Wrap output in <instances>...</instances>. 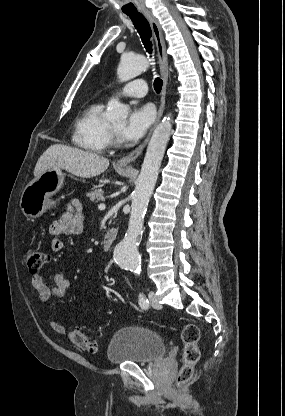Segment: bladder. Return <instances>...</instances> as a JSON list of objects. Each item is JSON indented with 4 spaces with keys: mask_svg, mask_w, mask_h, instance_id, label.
I'll list each match as a JSON object with an SVG mask.
<instances>
[{
    "mask_svg": "<svg viewBox=\"0 0 285 416\" xmlns=\"http://www.w3.org/2000/svg\"><path fill=\"white\" fill-rule=\"evenodd\" d=\"M166 340L153 329L130 325L116 330L108 346L109 362L154 363L166 355Z\"/></svg>",
    "mask_w": 285,
    "mask_h": 416,
    "instance_id": "bladder-1",
    "label": "bladder"
}]
</instances>
